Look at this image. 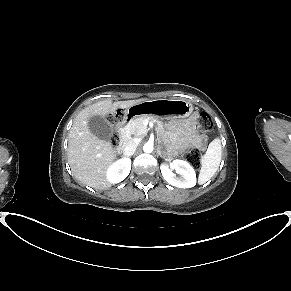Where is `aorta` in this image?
<instances>
[{
	"label": "aorta",
	"mask_w": 291,
	"mask_h": 291,
	"mask_svg": "<svg viewBox=\"0 0 291 291\" xmlns=\"http://www.w3.org/2000/svg\"><path fill=\"white\" fill-rule=\"evenodd\" d=\"M153 149H154V147H153V143H151V142H147V143H145L144 146H143V151L146 152V153H151V152H153Z\"/></svg>",
	"instance_id": "obj_1"
}]
</instances>
